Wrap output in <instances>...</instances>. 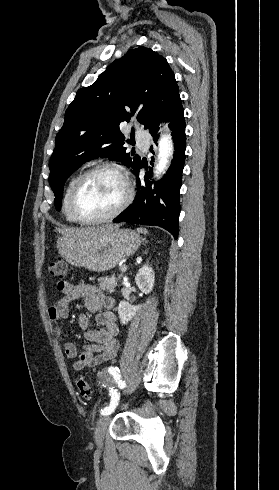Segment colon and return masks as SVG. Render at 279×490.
Instances as JSON below:
<instances>
[{
	"mask_svg": "<svg viewBox=\"0 0 279 490\" xmlns=\"http://www.w3.org/2000/svg\"><path fill=\"white\" fill-rule=\"evenodd\" d=\"M66 262L63 260L53 261L49 265V272L51 275L62 279L66 275ZM76 386L79 392V395L86 400H92L94 397V390L91 387L90 383L83 378H78L76 381Z\"/></svg>",
	"mask_w": 279,
	"mask_h": 490,
	"instance_id": "colon-1",
	"label": "colon"
}]
</instances>
